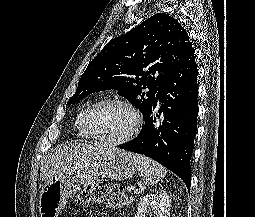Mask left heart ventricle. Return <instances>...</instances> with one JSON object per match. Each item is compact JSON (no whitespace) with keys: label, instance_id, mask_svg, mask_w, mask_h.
Returning <instances> with one entry per match:
<instances>
[{"label":"left heart ventricle","instance_id":"1","mask_svg":"<svg viewBox=\"0 0 255 217\" xmlns=\"http://www.w3.org/2000/svg\"><path fill=\"white\" fill-rule=\"evenodd\" d=\"M134 123L129 109L118 104H105L96 108L91 115L93 129L101 137L109 140L125 136Z\"/></svg>","mask_w":255,"mask_h":217}]
</instances>
